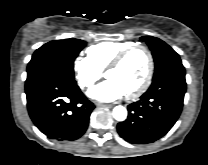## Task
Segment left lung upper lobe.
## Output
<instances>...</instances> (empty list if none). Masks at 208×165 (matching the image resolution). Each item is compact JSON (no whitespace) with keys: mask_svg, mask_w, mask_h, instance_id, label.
Wrapping results in <instances>:
<instances>
[{"mask_svg":"<svg viewBox=\"0 0 208 165\" xmlns=\"http://www.w3.org/2000/svg\"><path fill=\"white\" fill-rule=\"evenodd\" d=\"M141 40L145 41L152 51L155 62L153 78L172 69L184 68L179 55L164 41L152 36L141 37Z\"/></svg>","mask_w":208,"mask_h":165,"instance_id":"5c2ea615","label":"left lung upper lobe"}]
</instances>
